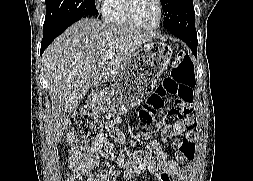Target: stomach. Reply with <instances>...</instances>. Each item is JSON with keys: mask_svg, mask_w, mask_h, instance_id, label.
I'll use <instances>...</instances> for the list:
<instances>
[{"mask_svg": "<svg viewBox=\"0 0 253 181\" xmlns=\"http://www.w3.org/2000/svg\"><path fill=\"white\" fill-rule=\"evenodd\" d=\"M172 50V46L164 42L144 44L112 78L110 90L91 94V106L96 111L111 110L122 115L140 104L167 70Z\"/></svg>", "mask_w": 253, "mask_h": 181, "instance_id": "0dacf381", "label": "stomach"}]
</instances>
